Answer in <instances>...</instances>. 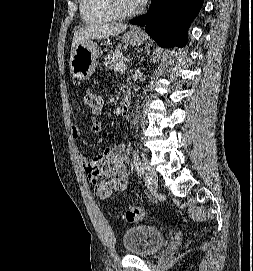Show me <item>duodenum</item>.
Returning a JSON list of instances; mask_svg holds the SVG:
<instances>
[{
  "label": "duodenum",
  "mask_w": 253,
  "mask_h": 271,
  "mask_svg": "<svg viewBox=\"0 0 253 271\" xmlns=\"http://www.w3.org/2000/svg\"><path fill=\"white\" fill-rule=\"evenodd\" d=\"M130 108H131V97L130 95H126L121 105L120 114L122 116H126L129 113Z\"/></svg>",
  "instance_id": "1"
}]
</instances>
